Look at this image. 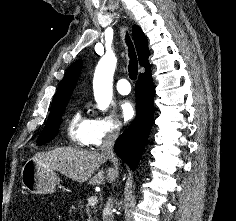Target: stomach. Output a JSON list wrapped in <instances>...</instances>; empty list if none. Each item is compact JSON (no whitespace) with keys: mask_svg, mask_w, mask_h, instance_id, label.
I'll use <instances>...</instances> for the list:
<instances>
[{"mask_svg":"<svg viewBox=\"0 0 236 221\" xmlns=\"http://www.w3.org/2000/svg\"><path fill=\"white\" fill-rule=\"evenodd\" d=\"M21 178L24 187L29 192L51 194L56 190L58 176L55 170L29 159L22 168Z\"/></svg>","mask_w":236,"mask_h":221,"instance_id":"stomach-1","label":"stomach"}]
</instances>
